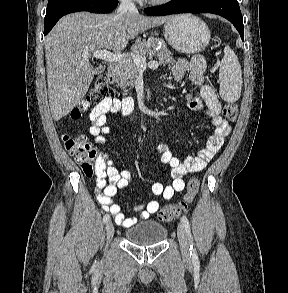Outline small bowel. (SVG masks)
Masks as SVG:
<instances>
[{
	"instance_id": "obj_1",
	"label": "small bowel",
	"mask_w": 288,
	"mask_h": 293,
	"mask_svg": "<svg viewBox=\"0 0 288 293\" xmlns=\"http://www.w3.org/2000/svg\"><path fill=\"white\" fill-rule=\"evenodd\" d=\"M205 62L202 56H195L191 61L178 59L172 67V75L176 81H181L185 74L189 72L190 81L199 87L200 96L186 95L187 106L193 112L205 110L210 118L215 130L210 135L205 147L201 149L197 156H188L183 162L175 157L166 144H158L156 150L160 155V161L171 168V184L164 186L160 182H155L151 186V192L156 196H162L165 200H170L176 192H181L185 187L184 177L190 172L203 170L209 161L222 147L225 138L230 134L229 123L221 116V103L214 89L205 82L204 79ZM134 110V101L131 97L108 98L97 104L90 112L89 118L91 126L89 132L95 137L99 146L107 144V136L110 132L106 125L108 114L121 113L129 116ZM96 175V197L104 211L114 216L116 224L122 227H130L139 219L146 220L150 215L159 210L160 204L156 200H151L145 204L135 206L138 216L125 217L118 204H114L112 198L116 193L126 188L131 179V174L127 170L119 171L110 155L99 153L95 162Z\"/></svg>"
}]
</instances>
